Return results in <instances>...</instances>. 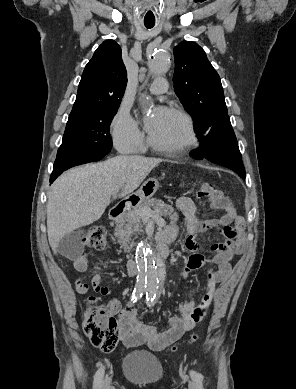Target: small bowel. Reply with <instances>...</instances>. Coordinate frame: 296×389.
<instances>
[{
    "mask_svg": "<svg viewBox=\"0 0 296 389\" xmlns=\"http://www.w3.org/2000/svg\"><path fill=\"white\" fill-rule=\"evenodd\" d=\"M177 210L187 220L186 247L189 250L197 251L203 245L197 240L199 234L206 231H215L222 240L208 245V250L213 253L211 258L203 254L195 253L187 259L186 273H190L200 267L214 264L215 269H211L207 274V284L204 294L197 304L186 303L179 312L173 315L167 322L163 330L149 324L140 323L137 319V311L128 309L121 311V302L117 298H111L106 308L111 315L121 312L119 318L120 338L129 347H136L147 344L153 351H162L177 340L183 334L191 330L197 322L192 318L194 313H206L218 283L227 279L231 273L230 259L234 254H240L245 247L243 235V220L237 216L233 205L224 198L221 202H214L215 209L221 210L219 218L200 220L197 216L196 207L188 197H180L176 200ZM234 223V225H232ZM178 235V226L175 221L169 223L158 235L171 241ZM91 253H82L75 259L74 265L78 271H85L88 265V258ZM89 286L103 296L110 294L109 287L102 284V276L95 274L90 284L81 280L75 281V289L78 293H85Z\"/></svg>",
    "mask_w": 296,
    "mask_h": 389,
    "instance_id": "1",
    "label": "small bowel"
}]
</instances>
